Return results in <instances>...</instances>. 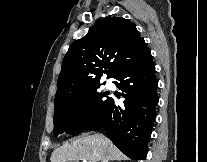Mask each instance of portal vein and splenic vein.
I'll return each mask as SVG.
<instances>
[{"label": "portal vein and splenic vein", "instance_id": "1", "mask_svg": "<svg viewBox=\"0 0 207 162\" xmlns=\"http://www.w3.org/2000/svg\"><path fill=\"white\" fill-rule=\"evenodd\" d=\"M83 162H91V161L83 160Z\"/></svg>", "mask_w": 207, "mask_h": 162}]
</instances>
